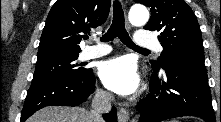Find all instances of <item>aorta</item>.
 <instances>
[{
	"mask_svg": "<svg viewBox=\"0 0 221 122\" xmlns=\"http://www.w3.org/2000/svg\"><path fill=\"white\" fill-rule=\"evenodd\" d=\"M149 20V12L142 4H135L129 11V21L135 26H143Z\"/></svg>",
	"mask_w": 221,
	"mask_h": 122,
	"instance_id": "1",
	"label": "aorta"
}]
</instances>
